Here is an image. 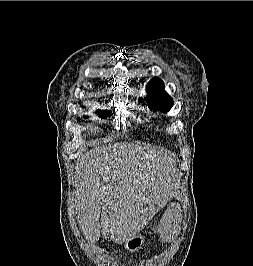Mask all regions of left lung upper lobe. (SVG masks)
Listing matches in <instances>:
<instances>
[{"mask_svg": "<svg viewBox=\"0 0 253 266\" xmlns=\"http://www.w3.org/2000/svg\"><path fill=\"white\" fill-rule=\"evenodd\" d=\"M148 96L146 98H139V102H146L150 109L154 111L160 110L167 113L173 106V99L164 91V83L158 78H152L146 87Z\"/></svg>", "mask_w": 253, "mask_h": 266, "instance_id": "obj_1", "label": "left lung upper lobe"}]
</instances>
